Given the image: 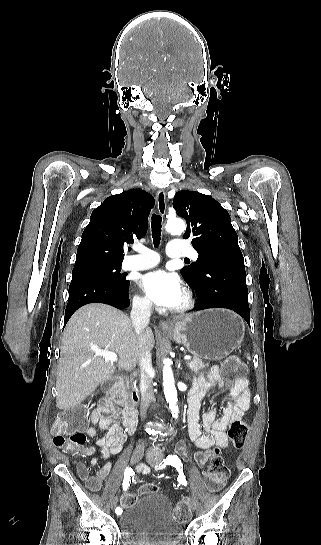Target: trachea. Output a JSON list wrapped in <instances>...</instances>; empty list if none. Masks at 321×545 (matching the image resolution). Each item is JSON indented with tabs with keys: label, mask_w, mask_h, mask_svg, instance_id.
<instances>
[{
	"label": "trachea",
	"mask_w": 321,
	"mask_h": 545,
	"mask_svg": "<svg viewBox=\"0 0 321 545\" xmlns=\"http://www.w3.org/2000/svg\"><path fill=\"white\" fill-rule=\"evenodd\" d=\"M151 229H152V238L154 247H158L160 245L161 240V229H162V218L161 215L153 214L151 219ZM189 259H184V261H188Z\"/></svg>",
	"instance_id": "trachea-1"
}]
</instances>
